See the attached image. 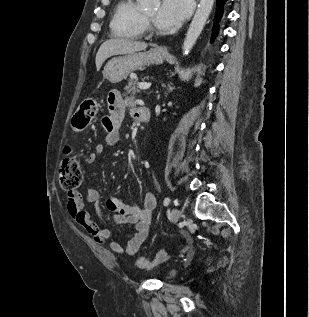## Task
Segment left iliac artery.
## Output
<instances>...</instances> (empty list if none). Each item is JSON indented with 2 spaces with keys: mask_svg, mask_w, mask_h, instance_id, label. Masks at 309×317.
I'll return each mask as SVG.
<instances>
[{
  "mask_svg": "<svg viewBox=\"0 0 309 317\" xmlns=\"http://www.w3.org/2000/svg\"><path fill=\"white\" fill-rule=\"evenodd\" d=\"M170 198L169 197H166L165 199H164V206H168L169 205V203H170Z\"/></svg>",
  "mask_w": 309,
  "mask_h": 317,
  "instance_id": "obj_1",
  "label": "left iliac artery"
}]
</instances>
